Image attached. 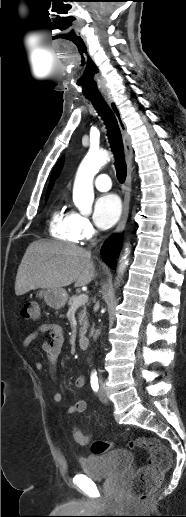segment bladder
Masks as SVG:
<instances>
[{"instance_id": "1", "label": "bladder", "mask_w": 186, "mask_h": 517, "mask_svg": "<svg viewBox=\"0 0 186 517\" xmlns=\"http://www.w3.org/2000/svg\"><path fill=\"white\" fill-rule=\"evenodd\" d=\"M133 462V455L126 449H116L82 458L80 466L92 479H110L123 474Z\"/></svg>"}]
</instances>
